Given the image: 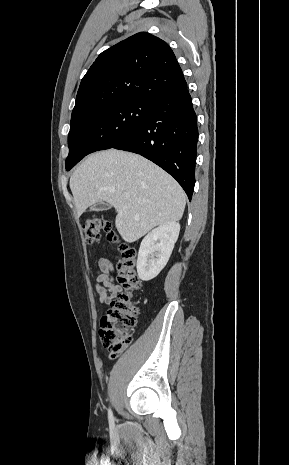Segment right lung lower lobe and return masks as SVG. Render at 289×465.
Returning a JSON list of instances; mask_svg holds the SVG:
<instances>
[{
    "instance_id": "1",
    "label": "right lung lower lobe",
    "mask_w": 289,
    "mask_h": 465,
    "mask_svg": "<svg viewBox=\"0 0 289 465\" xmlns=\"http://www.w3.org/2000/svg\"><path fill=\"white\" fill-rule=\"evenodd\" d=\"M197 141V117L186 87L154 100L150 117L111 148L151 160L173 176L191 200Z\"/></svg>"
}]
</instances>
